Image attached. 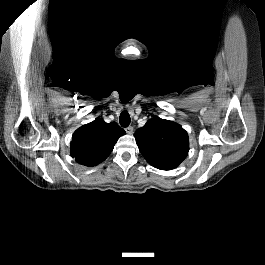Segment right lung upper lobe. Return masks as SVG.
<instances>
[{"label":"right lung upper lobe","instance_id":"right-lung-upper-lobe-1","mask_svg":"<svg viewBox=\"0 0 265 265\" xmlns=\"http://www.w3.org/2000/svg\"><path fill=\"white\" fill-rule=\"evenodd\" d=\"M125 131L115 122L95 119L78 128L71 141V156L85 166H95L105 160Z\"/></svg>","mask_w":265,"mask_h":265}]
</instances>
